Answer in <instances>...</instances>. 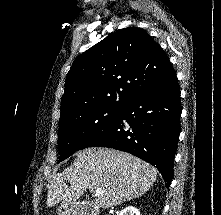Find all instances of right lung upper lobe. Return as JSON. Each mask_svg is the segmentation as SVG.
Returning <instances> with one entry per match:
<instances>
[{"mask_svg":"<svg viewBox=\"0 0 221 215\" xmlns=\"http://www.w3.org/2000/svg\"><path fill=\"white\" fill-rule=\"evenodd\" d=\"M173 71L168 56L143 29L117 30L74 60L60 119L92 108L120 109Z\"/></svg>","mask_w":221,"mask_h":215,"instance_id":"cb5924a9","label":"right lung upper lobe"}]
</instances>
